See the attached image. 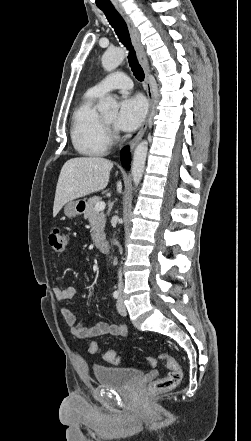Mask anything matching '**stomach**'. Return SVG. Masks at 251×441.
<instances>
[{"label":"stomach","mask_w":251,"mask_h":441,"mask_svg":"<svg viewBox=\"0 0 251 441\" xmlns=\"http://www.w3.org/2000/svg\"><path fill=\"white\" fill-rule=\"evenodd\" d=\"M86 204L84 200L69 201L65 204L64 214L68 218L80 215L84 211Z\"/></svg>","instance_id":"stomach-1"}]
</instances>
